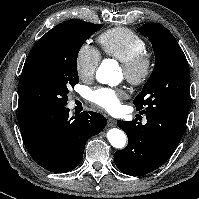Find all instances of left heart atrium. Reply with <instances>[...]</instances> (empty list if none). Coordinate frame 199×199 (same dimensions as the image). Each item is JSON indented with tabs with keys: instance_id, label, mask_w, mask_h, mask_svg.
Listing matches in <instances>:
<instances>
[{
	"instance_id": "39dd6f15",
	"label": "left heart atrium",
	"mask_w": 199,
	"mask_h": 199,
	"mask_svg": "<svg viewBox=\"0 0 199 199\" xmlns=\"http://www.w3.org/2000/svg\"><path fill=\"white\" fill-rule=\"evenodd\" d=\"M92 100L108 112H117L120 108L121 93L112 89H99L91 94Z\"/></svg>"
}]
</instances>
